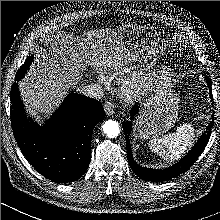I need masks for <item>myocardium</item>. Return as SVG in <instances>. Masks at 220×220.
I'll use <instances>...</instances> for the list:
<instances>
[{
  "label": "myocardium",
  "instance_id": "obj_1",
  "mask_svg": "<svg viewBox=\"0 0 220 220\" xmlns=\"http://www.w3.org/2000/svg\"><path fill=\"white\" fill-rule=\"evenodd\" d=\"M159 75L160 67L152 63L141 72L128 77L122 84L125 97L131 101L142 100L155 88Z\"/></svg>",
  "mask_w": 220,
  "mask_h": 220
}]
</instances>
